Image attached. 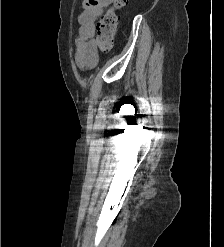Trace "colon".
Returning <instances> with one entry per match:
<instances>
[{
  "instance_id": "1",
  "label": "colon",
  "mask_w": 224,
  "mask_h": 247,
  "mask_svg": "<svg viewBox=\"0 0 224 247\" xmlns=\"http://www.w3.org/2000/svg\"><path fill=\"white\" fill-rule=\"evenodd\" d=\"M127 0H114L113 6L100 18L97 23L96 43L102 52H108L113 47L118 25L117 11L124 7Z\"/></svg>"
}]
</instances>
